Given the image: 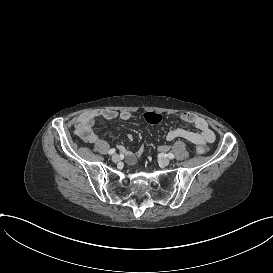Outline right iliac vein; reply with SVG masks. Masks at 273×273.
<instances>
[{"instance_id": "1", "label": "right iliac vein", "mask_w": 273, "mask_h": 273, "mask_svg": "<svg viewBox=\"0 0 273 273\" xmlns=\"http://www.w3.org/2000/svg\"><path fill=\"white\" fill-rule=\"evenodd\" d=\"M119 159H120V156H119L118 154H113V155H112V160H113L114 162L119 161Z\"/></svg>"}]
</instances>
